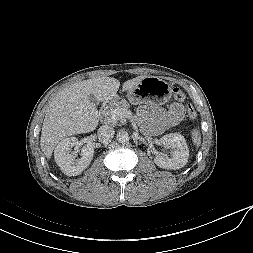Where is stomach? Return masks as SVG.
<instances>
[{
    "mask_svg": "<svg viewBox=\"0 0 253 253\" xmlns=\"http://www.w3.org/2000/svg\"><path fill=\"white\" fill-rule=\"evenodd\" d=\"M172 95V85L165 80L146 76L134 88L127 91V99L132 104L146 103L150 105H163ZM116 97L113 98L115 100Z\"/></svg>",
    "mask_w": 253,
    "mask_h": 253,
    "instance_id": "obj_1",
    "label": "stomach"
}]
</instances>
